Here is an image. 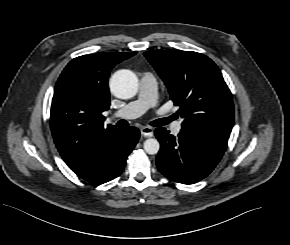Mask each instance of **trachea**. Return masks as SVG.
I'll use <instances>...</instances> for the list:
<instances>
[{"label":"trachea","instance_id":"trachea-1","mask_svg":"<svg viewBox=\"0 0 290 245\" xmlns=\"http://www.w3.org/2000/svg\"><path fill=\"white\" fill-rule=\"evenodd\" d=\"M173 119L174 118L172 116L168 117V118L157 119V120L150 122V125H152V126H164V125L168 124L169 122H171ZM127 125H128V122L125 120H120L117 123L118 127H124Z\"/></svg>","mask_w":290,"mask_h":245}]
</instances>
